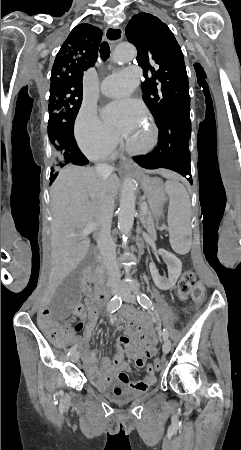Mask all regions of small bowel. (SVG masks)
Wrapping results in <instances>:
<instances>
[{"label":"small bowel","mask_w":241,"mask_h":450,"mask_svg":"<svg viewBox=\"0 0 241 450\" xmlns=\"http://www.w3.org/2000/svg\"><path fill=\"white\" fill-rule=\"evenodd\" d=\"M86 291V303L89 306L90 318L81 319L78 321L73 332L83 330L82 335L74 337L75 344L84 353V362L87 374L92 380L93 384L99 389H105L115 382L119 383L118 390L129 388L139 392H145L150 389L157 381L155 375V369L151 367V364H146L147 360L155 357L158 354L157 349V337L153 331L150 332L149 324H138L137 329L130 328V322L126 326V334L121 336L118 340L117 353L112 359L104 357L101 360V370H98L95 366V353L88 348V341L91 337L96 313L97 304L99 303L92 292L93 284L86 282L84 284ZM40 309L36 312L37 319H50L51 312L47 306L46 301L40 302ZM42 328H44V334L48 340L54 344H59L63 341V338L59 335H55V331L49 327L50 323L47 320L42 321ZM63 335L68 336L71 334V329L68 327L63 328L61 331ZM125 354L134 361V364L139 368L145 369V377L142 380H131L128 375L129 365L124 360Z\"/></svg>","instance_id":"small-bowel-1"}]
</instances>
